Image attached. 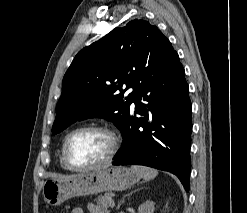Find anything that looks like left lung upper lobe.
Here are the masks:
<instances>
[{"label": "left lung upper lobe", "instance_id": "5c2ea615", "mask_svg": "<svg viewBox=\"0 0 247 213\" xmlns=\"http://www.w3.org/2000/svg\"><path fill=\"white\" fill-rule=\"evenodd\" d=\"M173 52L161 31L142 19L114 28L82 49L63 78L52 133L93 117L105 118L122 131L131 116L137 87L154 65ZM130 87L133 92L124 98Z\"/></svg>", "mask_w": 247, "mask_h": 213}]
</instances>
